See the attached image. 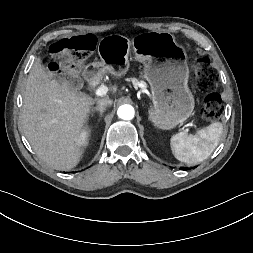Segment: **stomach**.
<instances>
[{"label":"stomach","mask_w":253,"mask_h":253,"mask_svg":"<svg viewBox=\"0 0 253 253\" xmlns=\"http://www.w3.org/2000/svg\"><path fill=\"white\" fill-rule=\"evenodd\" d=\"M100 61L91 64L95 75L125 74L129 56L144 63V77L151 87V118L163 130L186 121L193 113L194 98L188 88L189 69L185 52L168 33L146 34L133 40L119 34L102 38L98 43Z\"/></svg>","instance_id":"obj_1"}]
</instances>
